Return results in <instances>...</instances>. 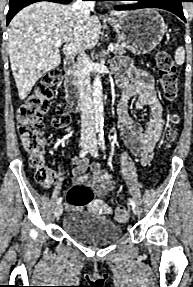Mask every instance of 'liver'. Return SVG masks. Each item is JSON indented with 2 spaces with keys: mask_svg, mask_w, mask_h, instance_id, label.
Returning <instances> with one entry per match:
<instances>
[{
  "mask_svg": "<svg viewBox=\"0 0 193 287\" xmlns=\"http://www.w3.org/2000/svg\"><path fill=\"white\" fill-rule=\"evenodd\" d=\"M127 11H112L123 16ZM101 24L97 16H84L72 5L37 2L22 9L10 22L8 52L19 98L24 100L38 79L61 63L63 53L74 57L82 49H92L98 42Z\"/></svg>",
  "mask_w": 193,
  "mask_h": 287,
  "instance_id": "6515ba94",
  "label": "liver"
}]
</instances>
